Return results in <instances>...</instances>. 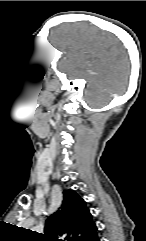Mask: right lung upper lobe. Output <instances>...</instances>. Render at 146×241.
Here are the masks:
<instances>
[{
	"label": "right lung upper lobe",
	"mask_w": 146,
	"mask_h": 241,
	"mask_svg": "<svg viewBox=\"0 0 146 241\" xmlns=\"http://www.w3.org/2000/svg\"><path fill=\"white\" fill-rule=\"evenodd\" d=\"M44 241H98L97 227L85 201L73 190H64L61 207L48 217Z\"/></svg>",
	"instance_id": "cb5924a9"
}]
</instances>
